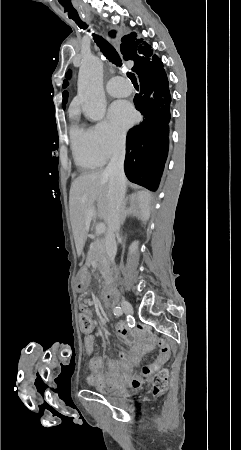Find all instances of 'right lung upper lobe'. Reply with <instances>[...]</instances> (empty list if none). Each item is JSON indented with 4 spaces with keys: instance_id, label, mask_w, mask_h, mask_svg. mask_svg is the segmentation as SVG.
Here are the masks:
<instances>
[{
    "instance_id": "1",
    "label": "right lung upper lobe",
    "mask_w": 241,
    "mask_h": 450,
    "mask_svg": "<svg viewBox=\"0 0 241 450\" xmlns=\"http://www.w3.org/2000/svg\"><path fill=\"white\" fill-rule=\"evenodd\" d=\"M114 35L115 32L112 31L110 33ZM136 34L131 33L130 35H126L121 39V53L123 54V59L128 61L131 60L134 63L132 67V71L136 72L140 67L150 62H156L158 57L153 55V50L151 46L144 42L142 39H136ZM71 72L68 71L66 73V78H70ZM64 82H67L66 80Z\"/></svg>"
}]
</instances>
